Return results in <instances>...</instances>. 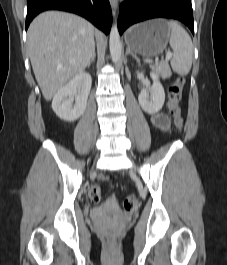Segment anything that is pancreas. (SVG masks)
<instances>
[{"mask_svg": "<svg viewBox=\"0 0 227 265\" xmlns=\"http://www.w3.org/2000/svg\"><path fill=\"white\" fill-rule=\"evenodd\" d=\"M152 69L158 72L163 78H169L172 75L171 70L166 62L152 67Z\"/></svg>", "mask_w": 227, "mask_h": 265, "instance_id": "obj_1", "label": "pancreas"}]
</instances>
